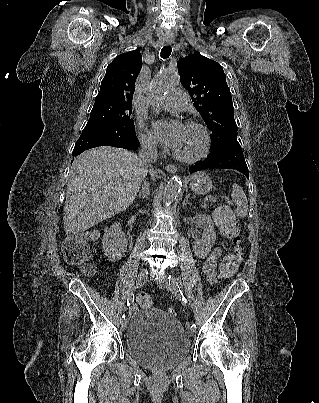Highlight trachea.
Listing matches in <instances>:
<instances>
[{"instance_id": "1", "label": "trachea", "mask_w": 319, "mask_h": 403, "mask_svg": "<svg viewBox=\"0 0 319 403\" xmlns=\"http://www.w3.org/2000/svg\"><path fill=\"white\" fill-rule=\"evenodd\" d=\"M172 48L170 46H164L161 50V58L166 59L170 56Z\"/></svg>"}]
</instances>
